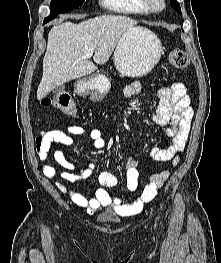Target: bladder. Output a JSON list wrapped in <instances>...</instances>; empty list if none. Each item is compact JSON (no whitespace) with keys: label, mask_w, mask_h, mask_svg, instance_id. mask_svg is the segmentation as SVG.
I'll return each mask as SVG.
<instances>
[{"label":"bladder","mask_w":221,"mask_h":263,"mask_svg":"<svg viewBox=\"0 0 221 263\" xmlns=\"http://www.w3.org/2000/svg\"><path fill=\"white\" fill-rule=\"evenodd\" d=\"M101 222L116 223L117 218L114 215H103L99 218Z\"/></svg>","instance_id":"1"}]
</instances>
